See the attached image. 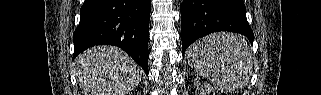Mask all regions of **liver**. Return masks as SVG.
Masks as SVG:
<instances>
[{"label": "liver", "instance_id": "liver-1", "mask_svg": "<svg viewBox=\"0 0 321 95\" xmlns=\"http://www.w3.org/2000/svg\"><path fill=\"white\" fill-rule=\"evenodd\" d=\"M76 63L85 95H127L142 77V69L116 47H93L79 54Z\"/></svg>", "mask_w": 321, "mask_h": 95}]
</instances>
